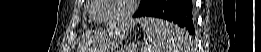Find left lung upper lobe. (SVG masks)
<instances>
[{
	"label": "left lung upper lobe",
	"instance_id": "5c2ea615",
	"mask_svg": "<svg viewBox=\"0 0 261 52\" xmlns=\"http://www.w3.org/2000/svg\"><path fill=\"white\" fill-rule=\"evenodd\" d=\"M152 2H153V0H141V6H140V9L138 11L144 9L146 6H148Z\"/></svg>",
	"mask_w": 261,
	"mask_h": 52
}]
</instances>
